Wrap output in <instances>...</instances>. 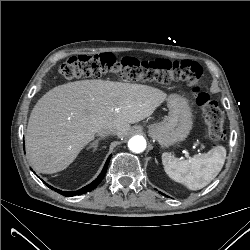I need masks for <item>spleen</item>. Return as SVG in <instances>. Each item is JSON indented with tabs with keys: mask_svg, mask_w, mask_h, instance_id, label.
I'll return each instance as SVG.
<instances>
[{
	"mask_svg": "<svg viewBox=\"0 0 250 250\" xmlns=\"http://www.w3.org/2000/svg\"><path fill=\"white\" fill-rule=\"evenodd\" d=\"M226 158V149L216 146L208 153L194 155L191 159L180 160L171 153L162 154L166 174L174 181L190 190L207 186L221 171Z\"/></svg>",
	"mask_w": 250,
	"mask_h": 250,
	"instance_id": "obj_1",
	"label": "spleen"
}]
</instances>
